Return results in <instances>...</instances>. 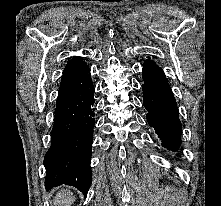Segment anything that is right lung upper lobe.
<instances>
[{
    "mask_svg": "<svg viewBox=\"0 0 221 206\" xmlns=\"http://www.w3.org/2000/svg\"><path fill=\"white\" fill-rule=\"evenodd\" d=\"M83 62H84V61H83V59H82L81 57H77V56L73 57V58L68 62V64L66 65V67H65V69H64V71H63V73L66 72V71H68V70H70V69H72V68H74V67H76V66H78L79 64H81V63H83Z\"/></svg>",
    "mask_w": 221,
    "mask_h": 206,
    "instance_id": "obj_1",
    "label": "right lung upper lobe"
}]
</instances>
